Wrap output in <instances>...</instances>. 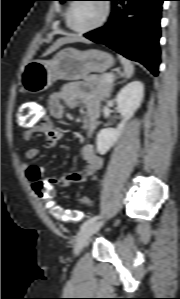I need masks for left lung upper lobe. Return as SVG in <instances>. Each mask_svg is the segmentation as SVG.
Returning a JSON list of instances; mask_svg holds the SVG:
<instances>
[{"label":"left lung upper lobe","instance_id":"obj_1","mask_svg":"<svg viewBox=\"0 0 180 299\" xmlns=\"http://www.w3.org/2000/svg\"><path fill=\"white\" fill-rule=\"evenodd\" d=\"M59 1H67V0H59Z\"/></svg>","mask_w":180,"mask_h":299}]
</instances>
